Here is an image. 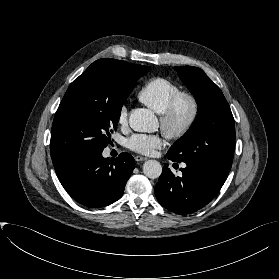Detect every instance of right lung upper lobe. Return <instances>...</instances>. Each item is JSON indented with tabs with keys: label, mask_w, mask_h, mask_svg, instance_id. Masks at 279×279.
<instances>
[{
	"label": "right lung upper lobe",
	"mask_w": 279,
	"mask_h": 279,
	"mask_svg": "<svg viewBox=\"0 0 279 279\" xmlns=\"http://www.w3.org/2000/svg\"><path fill=\"white\" fill-rule=\"evenodd\" d=\"M108 64L112 71L119 77L131 80L142 75L145 66L128 63L126 61L115 60L111 58L99 59L91 64V66Z\"/></svg>",
	"instance_id": "obj_1"
}]
</instances>
